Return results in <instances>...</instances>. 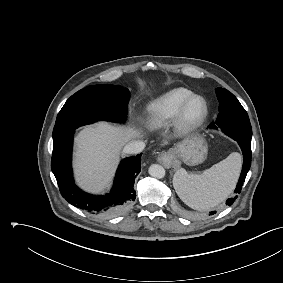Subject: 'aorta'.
<instances>
[{
  "label": "aorta",
  "mask_w": 283,
  "mask_h": 283,
  "mask_svg": "<svg viewBox=\"0 0 283 283\" xmlns=\"http://www.w3.org/2000/svg\"><path fill=\"white\" fill-rule=\"evenodd\" d=\"M149 174L155 178H163L165 176V169L158 164H153L149 167Z\"/></svg>",
  "instance_id": "obj_1"
}]
</instances>
